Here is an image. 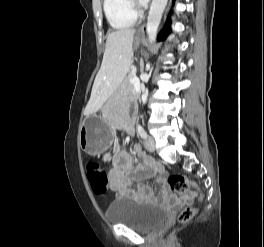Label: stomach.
<instances>
[{
	"mask_svg": "<svg viewBox=\"0 0 264 247\" xmlns=\"http://www.w3.org/2000/svg\"><path fill=\"white\" fill-rule=\"evenodd\" d=\"M139 37L136 41L139 42ZM113 136V125L109 121L106 110L102 115L87 116L79 128L81 148L90 155L104 152L110 145Z\"/></svg>",
	"mask_w": 264,
	"mask_h": 247,
	"instance_id": "stomach-1",
	"label": "stomach"
}]
</instances>
